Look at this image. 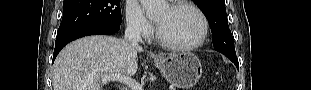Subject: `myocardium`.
I'll return each instance as SVG.
<instances>
[{
    "mask_svg": "<svg viewBox=\"0 0 311 90\" xmlns=\"http://www.w3.org/2000/svg\"><path fill=\"white\" fill-rule=\"evenodd\" d=\"M180 8H188L198 15V17L200 18L201 23H202V32H201L200 37L195 42H193L191 44H187V45L173 44V43L166 41L162 37V35L159 31V27L157 25V27H156V40L160 45H162L166 49H169L172 51L187 52V51H191V50H194V49L200 47L206 41L208 33H209V22H208L207 17L205 16V14L198 7H196L195 5H193L189 2L180 1V2H176L174 4H171L169 6V9L171 11H174V10H177Z\"/></svg>",
    "mask_w": 311,
    "mask_h": 90,
    "instance_id": "obj_1",
    "label": "myocardium"
}]
</instances>
